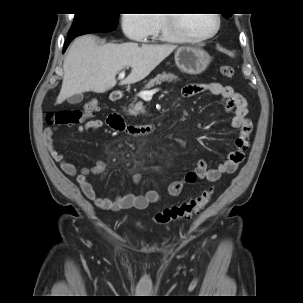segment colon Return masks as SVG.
I'll list each match as a JSON object with an SVG mask.
<instances>
[{
  "label": "colon",
  "instance_id": "5ec220e1",
  "mask_svg": "<svg viewBox=\"0 0 303 303\" xmlns=\"http://www.w3.org/2000/svg\"><path fill=\"white\" fill-rule=\"evenodd\" d=\"M234 72V68L230 65H222L220 67V73L227 78L233 77ZM97 108L98 102L96 100H91L85 104L82 110L60 109L48 112L46 114L45 121L50 126L75 125L92 116ZM212 194L213 188H210L195 198H191L180 204L164 209L163 211L155 214L153 219L155 222L160 224L181 218L190 219L205 208V206L210 202Z\"/></svg>",
  "mask_w": 303,
  "mask_h": 303
}]
</instances>
